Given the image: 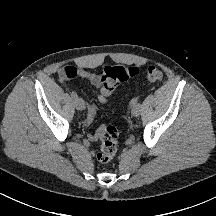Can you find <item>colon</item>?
<instances>
[{"instance_id":"5ec220e1","label":"colon","mask_w":216,"mask_h":216,"mask_svg":"<svg viewBox=\"0 0 216 216\" xmlns=\"http://www.w3.org/2000/svg\"><path fill=\"white\" fill-rule=\"evenodd\" d=\"M135 66H106L100 73V82L104 91L112 93L114 89L129 78L138 74ZM147 79L151 82H160L163 79V72L156 66L147 69ZM77 77V69L72 66H65L59 71L61 80H68ZM97 140L100 143L96 155L98 162L105 164L110 162L117 153L119 132L112 126L101 127L97 132Z\"/></svg>"}]
</instances>
